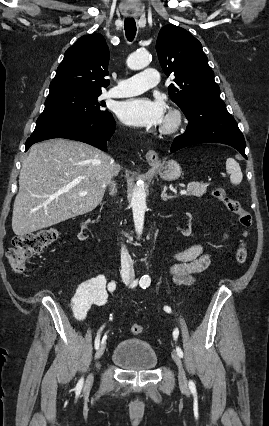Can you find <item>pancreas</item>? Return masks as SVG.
<instances>
[{
  "instance_id": "pancreas-1",
  "label": "pancreas",
  "mask_w": 269,
  "mask_h": 426,
  "mask_svg": "<svg viewBox=\"0 0 269 426\" xmlns=\"http://www.w3.org/2000/svg\"><path fill=\"white\" fill-rule=\"evenodd\" d=\"M207 185L199 182H190L187 187L188 196L200 197L206 193Z\"/></svg>"
}]
</instances>
